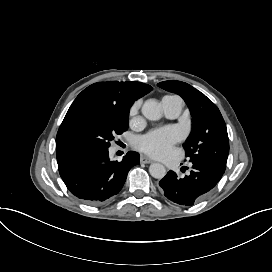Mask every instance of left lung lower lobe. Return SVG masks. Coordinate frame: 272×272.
<instances>
[{
  "label": "left lung lower lobe",
  "instance_id": "0a47b994",
  "mask_svg": "<svg viewBox=\"0 0 272 272\" xmlns=\"http://www.w3.org/2000/svg\"><path fill=\"white\" fill-rule=\"evenodd\" d=\"M190 175L179 179L169 171L159 182L164 196L181 206H192L208 194L221 179L223 172L200 162H193Z\"/></svg>",
  "mask_w": 272,
  "mask_h": 272
}]
</instances>
